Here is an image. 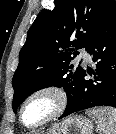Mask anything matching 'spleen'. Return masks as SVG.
Here are the masks:
<instances>
[{
	"label": "spleen",
	"instance_id": "3e777b00",
	"mask_svg": "<svg viewBox=\"0 0 116 134\" xmlns=\"http://www.w3.org/2000/svg\"><path fill=\"white\" fill-rule=\"evenodd\" d=\"M97 123L99 134H116V109L101 107L87 111Z\"/></svg>",
	"mask_w": 116,
	"mask_h": 134
}]
</instances>
